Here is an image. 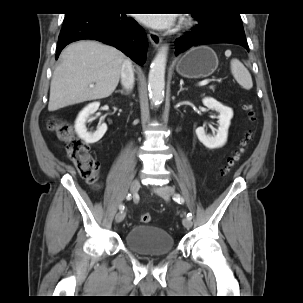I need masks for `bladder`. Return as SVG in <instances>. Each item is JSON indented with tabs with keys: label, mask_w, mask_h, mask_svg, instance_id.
Segmentation results:
<instances>
[{
	"label": "bladder",
	"mask_w": 303,
	"mask_h": 303,
	"mask_svg": "<svg viewBox=\"0 0 303 303\" xmlns=\"http://www.w3.org/2000/svg\"><path fill=\"white\" fill-rule=\"evenodd\" d=\"M125 246L144 257H157L169 254L174 249L172 235L152 225H135L125 235Z\"/></svg>",
	"instance_id": "1"
}]
</instances>
